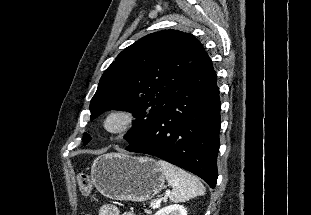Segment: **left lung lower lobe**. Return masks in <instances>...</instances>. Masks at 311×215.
<instances>
[{"label":"left lung lower lobe","mask_w":311,"mask_h":215,"mask_svg":"<svg viewBox=\"0 0 311 215\" xmlns=\"http://www.w3.org/2000/svg\"><path fill=\"white\" fill-rule=\"evenodd\" d=\"M219 132L217 76L204 50L182 86L146 132L126 150L159 157L196 174L215 188Z\"/></svg>","instance_id":"left-lung-lower-lobe-1"}]
</instances>
